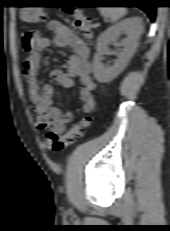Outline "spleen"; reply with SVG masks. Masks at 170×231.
Here are the masks:
<instances>
[{
	"instance_id": "obj_1",
	"label": "spleen",
	"mask_w": 170,
	"mask_h": 231,
	"mask_svg": "<svg viewBox=\"0 0 170 231\" xmlns=\"http://www.w3.org/2000/svg\"><path fill=\"white\" fill-rule=\"evenodd\" d=\"M99 11L105 18H109L111 22H116L126 15V8L124 7H100Z\"/></svg>"
}]
</instances>
